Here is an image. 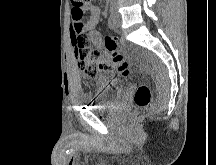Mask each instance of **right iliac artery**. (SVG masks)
<instances>
[{"mask_svg": "<svg viewBox=\"0 0 216 165\" xmlns=\"http://www.w3.org/2000/svg\"><path fill=\"white\" fill-rule=\"evenodd\" d=\"M108 26L110 29H114V27H115V21H114L112 15L108 19Z\"/></svg>", "mask_w": 216, "mask_h": 165, "instance_id": "right-iliac-artery-1", "label": "right iliac artery"}]
</instances>
